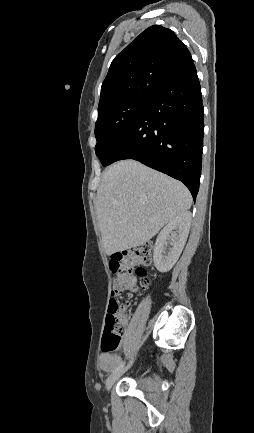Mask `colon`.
I'll return each instance as SVG.
<instances>
[{"mask_svg":"<svg viewBox=\"0 0 254 433\" xmlns=\"http://www.w3.org/2000/svg\"><path fill=\"white\" fill-rule=\"evenodd\" d=\"M150 258L151 246L149 245L114 255L111 263V269L115 274L113 278L114 292L126 291L129 296H133L138 293L140 288H146L149 285V279L143 265L148 263ZM124 309L125 306L117 299L112 298L110 300L102 342V351L105 353L114 352L121 344L126 323L123 314Z\"/></svg>","mask_w":254,"mask_h":433,"instance_id":"colon-1","label":"colon"}]
</instances>
